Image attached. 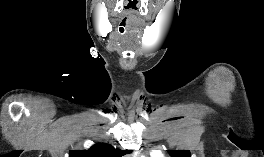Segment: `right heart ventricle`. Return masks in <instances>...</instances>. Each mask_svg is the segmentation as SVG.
<instances>
[{"instance_id":"1","label":"right heart ventricle","mask_w":264,"mask_h":157,"mask_svg":"<svg viewBox=\"0 0 264 157\" xmlns=\"http://www.w3.org/2000/svg\"><path fill=\"white\" fill-rule=\"evenodd\" d=\"M152 157H163V156L160 154H154Z\"/></svg>"}]
</instances>
